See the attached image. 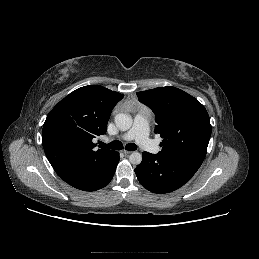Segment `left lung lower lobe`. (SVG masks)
<instances>
[{
	"label": "left lung lower lobe",
	"mask_w": 259,
	"mask_h": 259,
	"mask_svg": "<svg viewBox=\"0 0 259 259\" xmlns=\"http://www.w3.org/2000/svg\"><path fill=\"white\" fill-rule=\"evenodd\" d=\"M198 168L190 163L143 152L142 162L135 168V173L143 187L162 194L183 186Z\"/></svg>",
	"instance_id": "0a47b994"
}]
</instances>
